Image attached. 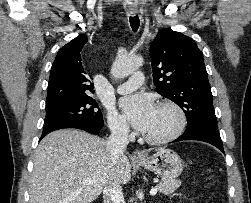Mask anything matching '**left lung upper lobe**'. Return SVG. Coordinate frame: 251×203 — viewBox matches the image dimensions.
Returning a JSON list of instances; mask_svg holds the SVG:
<instances>
[{
	"label": "left lung upper lobe",
	"instance_id": "obj_1",
	"mask_svg": "<svg viewBox=\"0 0 251 203\" xmlns=\"http://www.w3.org/2000/svg\"><path fill=\"white\" fill-rule=\"evenodd\" d=\"M157 92L186 114V131L218 130L203 53L190 37L163 29L150 46Z\"/></svg>",
	"mask_w": 251,
	"mask_h": 203
}]
</instances>
